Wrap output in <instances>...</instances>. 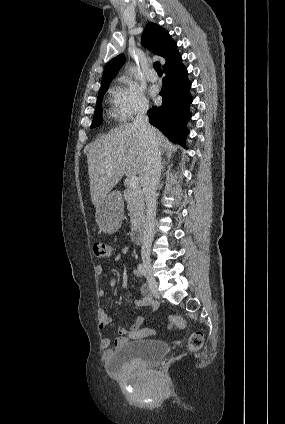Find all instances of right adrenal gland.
Returning a JSON list of instances; mask_svg holds the SVG:
<instances>
[{
	"mask_svg": "<svg viewBox=\"0 0 285 424\" xmlns=\"http://www.w3.org/2000/svg\"><path fill=\"white\" fill-rule=\"evenodd\" d=\"M164 167H165V161L163 162V165H162V171L164 170Z\"/></svg>",
	"mask_w": 285,
	"mask_h": 424,
	"instance_id": "2a0ac1e0",
	"label": "right adrenal gland"
}]
</instances>
